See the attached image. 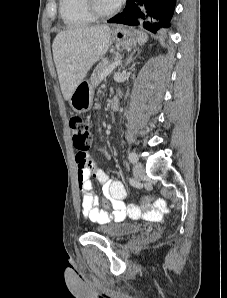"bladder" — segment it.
<instances>
[{
	"instance_id": "1",
	"label": "bladder",
	"mask_w": 227,
	"mask_h": 298,
	"mask_svg": "<svg viewBox=\"0 0 227 298\" xmlns=\"http://www.w3.org/2000/svg\"><path fill=\"white\" fill-rule=\"evenodd\" d=\"M141 225L128 221H110L106 223H98L94 227V231L107 237L119 238L141 231Z\"/></svg>"
}]
</instances>
